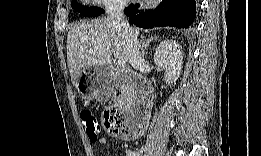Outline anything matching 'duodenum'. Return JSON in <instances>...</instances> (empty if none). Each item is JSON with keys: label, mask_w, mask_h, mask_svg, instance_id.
<instances>
[{"label": "duodenum", "mask_w": 261, "mask_h": 156, "mask_svg": "<svg viewBox=\"0 0 261 156\" xmlns=\"http://www.w3.org/2000/svg\"><path fill=\"white\" fill-rule=\"evenodd\" d=\"M113 73L118 82L131 85L132 78L128 71L115 69ZM118 106L129 112L137 123L146 125L152 106V94L148 83L145 80H141L132 94L118 101Z\"/></svg>", "instance_id": "duodenum-1"}]
</instances>
